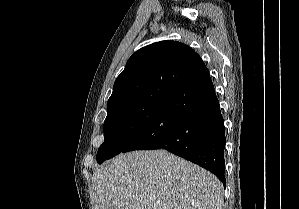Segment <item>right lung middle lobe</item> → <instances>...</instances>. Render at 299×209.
I'll return each mask as SVG.
<instances>
[{
  "mask_svg": "<svg viewBox=\"0 0 299 209\" xmlns=\"http://www.w3.org/2000/svg\"><path fill=\"white\" fill-rule=\"evenodd\" d=\"M162 102L143 101L107 110L104 142L99 147L97 162L102 163L122 150L144 129Z\"/></svg>",
  "mask_w": 299,
  "mask_h": 209,
  "instance_id": "right-lung-middle-lobe-1",
  "label": "right lung middle lobe"
}]
</instances>
